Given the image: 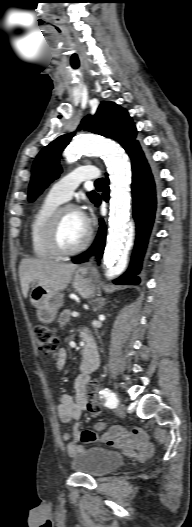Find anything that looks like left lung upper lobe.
I'll return each instance as SVG.
<instances>
[{
	"label": "left lung upper lobe",
	"mask_w": 192,
	"mask_h": 527,
	"mask_svg": "<svg viewBox=\"0 0 192 527\" xmlns=\"http://www.w3.org/2000/svg\"><path fill=\"white\" fill-rule=\"evenodd\" d=\"M82 128L118 141L127 153L138 144L135 140L137 130L131 117L125 109L113 102L103 101L93 117L87 116L82 120L78 129ZM73 135L74 133H71L58 137L37 155L29 185L28 200L30 202L34 201L54 179L58 178L61 173L59 166L61 152L69 144ZM98 196L92 192L91 201L96 204Z\"/></svg>",
	"instance_id": "left-lung-upper-lobe-1"
}]
</instances>
